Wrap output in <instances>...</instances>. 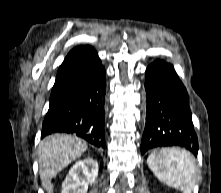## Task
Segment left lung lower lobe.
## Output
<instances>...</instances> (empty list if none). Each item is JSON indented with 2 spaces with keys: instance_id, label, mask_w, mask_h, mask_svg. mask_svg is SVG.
<instances>
[{
  "instance_id": "left-lung-lower-lobe-1",
  "label": "left lung lower lobe",
  "mask_w": 221,
  "mask_h": 193,
  "mask_svg": "<svg viewBox=\"0 0 221 193\" xmlns=\"http://www.w3.org/2000/svg\"><path fill=\"white\" fill-rule=\"evenodd\" d=\"M147 115L141 141V154L155 147L180 146L198 153V140L194 131L186 88L172 65L157 60L146 69L145 79ZM174 111L175 124L165 123L162 111Z\"/></svg>"
}]
</instances>
